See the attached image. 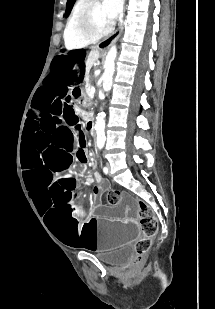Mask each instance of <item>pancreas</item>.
Returning <instances> with one entry per match:
<instances>
[{"mask_svg": "<svg viewBox=\"0 0 215 309\" xmlns=\"http://www.w3.org/2000/svg\"><path fill=\"white\" fill-rule=\"evenodd\" d=\"M92 86V80H85V90H86V94H88L89 92V88H91ZM84 106H92L93 104V98L92 96H84Z\"/></svg>", "mask_w": 215, "mask_h": 309, "instance_id": "obj_1", "label": "pancreas"}]
</instances>
